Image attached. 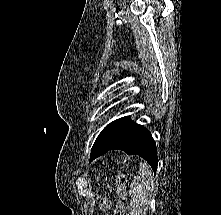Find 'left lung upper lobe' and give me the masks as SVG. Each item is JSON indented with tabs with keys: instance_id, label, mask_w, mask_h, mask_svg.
Returning a JSON list of instances; mask_svg holds the SVG:
<instances>
[{
	"instance_id": "1",
	"label": "left lung upper lobe",
	"mask_w": 221,
	"mask_h": 215,
	"mask_svg": "<svg viewBox=\"0 0 221 215\" xmlns=\"http://www.w3.org/2000/svg\"><path fill=\"white\" fill-rule=\"evenodd\" d=\"M113 122H114V121H113ZM113 122H112V123H113ZM112 123H110L109 125H107V126L103 129V131H104L107 127H109Z\"/></svg>"
}]
</instances>
